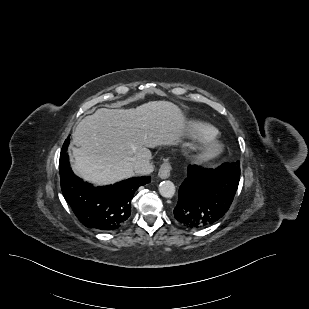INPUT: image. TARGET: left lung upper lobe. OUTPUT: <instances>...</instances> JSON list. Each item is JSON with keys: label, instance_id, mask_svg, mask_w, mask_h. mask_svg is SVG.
Instances as JSON below:
<instances>
[{"label": "left lung upper lobe", "instance_id": "obj_1", "mask_svg": "<svg viewBox=\"0 0 309 309\" xmlns=\"http://www.w3.org/2000/svg\"><path fill=\"white\" fill-rule=\"evenodd\" d=\"M232 165L237 168V169H240V162L239 161H236L234 163H232Z\"/></svg>", "mask_w": 309, "mask_h": 309}]
</instances>
